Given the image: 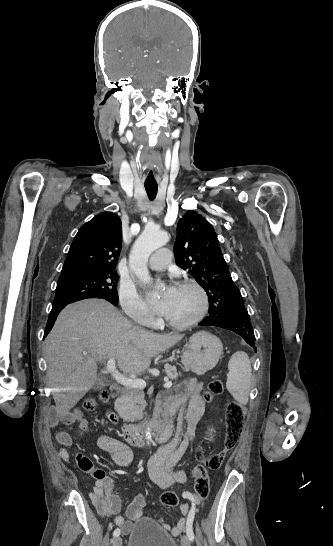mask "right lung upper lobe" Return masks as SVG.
I'll list each match as a JSON object with an SVG mask.
<instances>
[{
	"mask_svg": "<svg viewBox=\"0 0 333 546\" xmlns=\"http://www.w3.org/2000/svg\"><path fill=\"white\" fill-rule=\"evenodd\" d=\"M121 247L120 218L112 212L100 213L79 229L61 275L115 270Z\"/></svg>",
	"mask_w": 333,
	"mask_h": 546,
	"instance_id": "cb5924a9",
	"label": "right lung upper lobe"
}]
</instances>
